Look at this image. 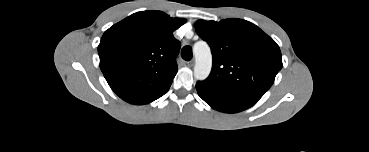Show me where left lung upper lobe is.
Masks as SVG:
<instances>
[{"label": "left lung upper lobe", "instance_id": "1", "mask_svg": "<svg viewBox=\"0 0 369 152\" xmlns=\"http://www.w3.org/2000/svg\"><path fill=\"white\" fill-rule=\"evenodd\" d=\"M196 32L211 47L206 82L261 98L282 68L279 46L256 25L241 19L198 20Z\"/></svg>", "mask_w": 369, "mask_h": 152}]
</instances>
